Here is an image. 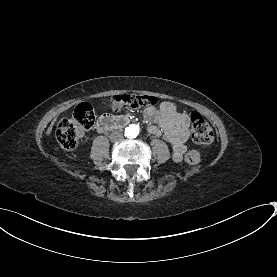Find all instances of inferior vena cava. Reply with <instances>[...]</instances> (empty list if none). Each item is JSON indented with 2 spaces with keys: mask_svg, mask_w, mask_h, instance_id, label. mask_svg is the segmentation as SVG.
Returning <instances> with one entry per match:
<instances>
[{
  "mask_svg": "<svg viewBox=\"0 0 277 277\" xmlns=\"http://www.w3.org/2000/svg\"><path fill=\"white\" fill-rule=\"evenodd\" d=\"M123 138V134L120 133L119 131H113L111 134H110V140L111 141H118L120 139Z\"/></svg>",
  "mask_w": 277,
  "mask_h": 277,
  "instance_id": "1",
  "label": "inferior vena cava"
}]
</instances>
